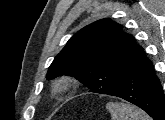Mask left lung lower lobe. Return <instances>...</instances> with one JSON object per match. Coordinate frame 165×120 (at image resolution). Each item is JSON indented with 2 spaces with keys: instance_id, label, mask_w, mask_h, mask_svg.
Returning <instances> with one entry per match:
<instances>
[{
  "instance_id": "1",
  "label": "left lung lower lobe",
  "mask_w": 165,
  "mask_h": 120,
  "mask_svg": "<svg viewBox=\"0 0 165 120\" xmlns=\"http://www.w3.org/2000/svg\"><path fill=\"white\" fill-rule=\"evenodd\" d=\"M108 95L137 105L154 120H165V99L160 80L155 75L152 62L140 46L128 65L121 84Z\"/></svg>"
}]
</instances>
